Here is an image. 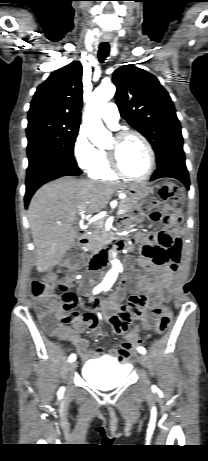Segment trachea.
<instances>
[{
	"label": "trachea",
	"instance_id": "1",
	"mask_svg": "<svg viewBox=\"0 0 208 461\" xmlns=\"http://www.w3.org/2000/svg\"><path fill=\"white\" fill-rule=\"evenodd\" d=\"M110 46L108 43H101L98 51V58L103 63L109 55Z\"/></svg>",
	"mask_w": 208,
	"mask_h": 461
}]
</instances>
